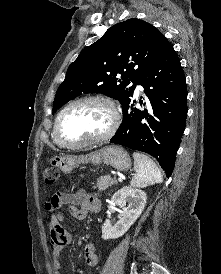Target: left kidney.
Masks as SVG:
<instances>
[{"label":"left kidney","mask_w":221,"mask_h":274,"mask_svg":"<svg viewBox=\"0 0 221 274\" xmlns=\"http://www.w3.org/2000/svg\"><path fill=\"white\" fill-rule=\"evenodd\" d=\"M146 198V193L140 189L125 186L118 190L112 196L111 204L122 208V218L114 226L109 219L104 222L102 239H116L123 236L143 212Z\"/></svg>","instance_id":"obj_1"}]
</instances>
